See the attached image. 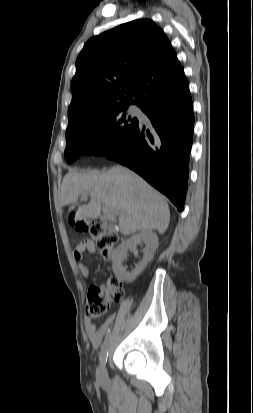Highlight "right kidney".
Returning a JSON list of instances; mask_svg holds the SVG:
<instances>
[{"label": "right kidney", "mask_w": 253, "mask_h": 413, "mask_svg": "<svg viewBox=\"0 0 253 413\" xmlns=\"http://www.w3.org/2000/svg\"><path fill=\"white\" fill-rule=\"evenodd\" d=\"M140 243L145 244L143 258L136 264L131 272H127V267L122 264L123 260L127 257L128 250H135ZM157 247L158 236L152 231H141L125 240L112 255V267L117 278L123 281L132 282L144 270L149 261H151Z\"/></svg>", "instance_id": "ca27d5eb"}]
</instances>
